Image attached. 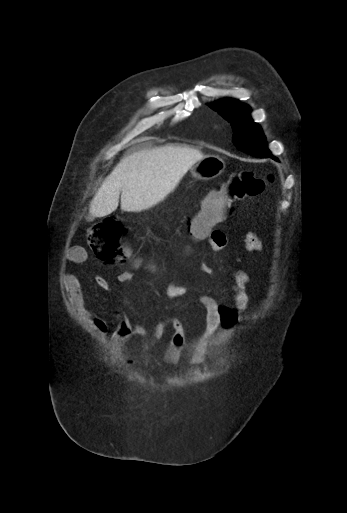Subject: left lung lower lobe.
I'll use <instances>...</instances> for the list:
<instances>
[{"mask_svg":"<svg viewBox=\"0 0 347 513\" xmlns=\"http://www.w3.org/2000/svg\"><path fill=\"white\" fill-rule=\"evenodd\" d=\"M270 157H271L272 159H274V160H277V158H275L274 156H270Z\"/></svg>","mask_w":347,"mask_h":513,"instance_id":"1","label":"left lung lower lobe"}]
</instances>
